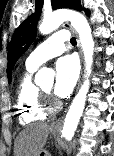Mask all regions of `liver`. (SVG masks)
I'll use <instances>...</instances> for the list:
<instances>
[{
  "label": "liver",
  "mask_w": 114,
  "mask_h": 156,
  "mask_svg": "<svg viewBox=\"0 0 114 156\" xmlns=\"http://www.w3.org/2000/svg\"><path fill=\"white\" fill-rule=\"evenodd\" d=\"M50 130L45 122L33 123L22 130L16 139L14 156H38Z\"/></svg>",
  "instance_id": "1"
}]
</instances>
